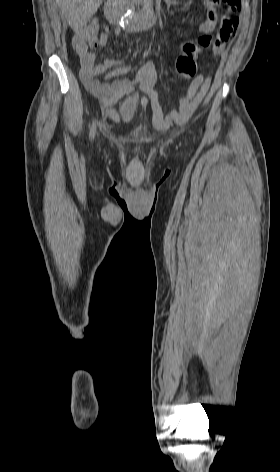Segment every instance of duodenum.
<instances>
[{
	"label": "duodenum",
	"mask_w": 280,
	"mask_h": 472,
	"mask_svg": "<svg viewBox=\"0 0 280 472\" xmlns=\"http://www.w3.org/2000/svg\"><path fill=\"white\" fill-rule=\"evenodd\" d=\"M126 6L121 0H107L104 5V14L107 20L118 28L128 31H142L154 26L158 13L153 9H141L131 19L126 18Z\"/></svg>",
	"instance_id": "410a0bca"
}]
</instances>
